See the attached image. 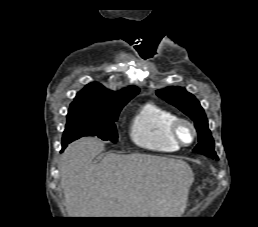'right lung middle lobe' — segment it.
<instances>
[{
	"label": "right lung middle lobe",
	"instance_id": "1",
	"mask_svg": "<svg viewBox=\"0 0 258 227\" xmlns=\"http://www.w3.org/2000/svg\"><path fill=\"white\" fill-rule=\"evenodd\" d=\"M126 104L127 102L108 108L70 105L62 144L70 143L83 136H96L116 143L118 137L114 121Z\"/></svg>",
	"mask_w": 258,
	"mask_h": 227
}]
</instances>
